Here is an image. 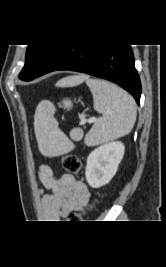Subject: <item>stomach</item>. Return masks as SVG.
I'll return each instance as SVG.
<instances>
[{
    "mask_svg": "<svg viewBox=\"0 0 166 267\" xmlns=\"http://www.w3.org/2000/svg\"><path fill=\"white\" fill-rule=\"evenodd\" d=\"M63 105H64V107L65 108H67V109H70V108H72V102L69 100V99H65V100H63Z\"/></svg>",
    "mask_w": 166,
    "mask_h": 267,
    "instance_id": "stomach-1",
    "label": "stomach"
}]
</instances>
